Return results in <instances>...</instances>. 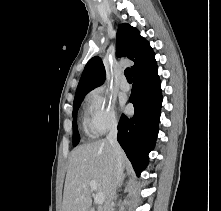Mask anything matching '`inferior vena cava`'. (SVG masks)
Here are the masks:
<instances>
[{"mask_svg": "<svg viewBox=\"0 0 221 211\" xmlns=\"http://www.w3.org/2000/svg\"><path fill=\"white\" fill-rule=\"evenodd\" d=\"M117 133H118L117 123L114 122L111 124L109 128L107 141L110 143L112 147L115 164H114L113 177L109 185L108 196L105 201L103 211H114L113 200L115 198L116 188H117V185L122 180V174H123V166H122V161H121L122 149L119 146V143L117 141Z\"/></svg>", "mask_w": 221, "mask_h": 211, "instance_id": "inferior-vena-cava-1", "label": "inferior vena cava"}]
</instances>
